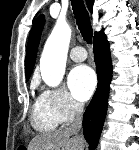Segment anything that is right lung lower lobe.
Masks as SVG:
<instances>
[{"label":"right lung lower lobe","instance_id":"obj_1","mask_svg":"<svg viewBox=\"0 0 139 150\" xmlns=\"http://www.w3.org/2000/svg\"><path fill=\"white\" fill-rule=\"evenodd\" d=\"M94 61L98 75V85L83 117V134L94 150L98 144L107 112L109 85L112 78V63L109 42L103 31L94 34Z\"/></svg>","mask_w":139,"mask_h":150}]
</instances>
